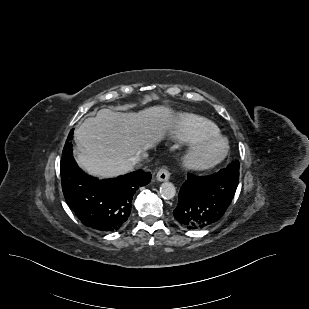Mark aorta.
I'll use <instances>...</instances> for the list:
<instances>
[{"label":"aorta","instance_id":"762f6f07","mask_svg":"<svg viewBox=\"0 0 309 309\" xmlns=\"http://www.w3.org/2000/svg\"><path fill=\"white\" fill-rule=\"evenodd\" d=\"M160 195L165 200L173 199L176 195L175 186L171 182H165L160 187Z\"/></svg>","mask_w":309,"mask_h":309}]
</instances>
